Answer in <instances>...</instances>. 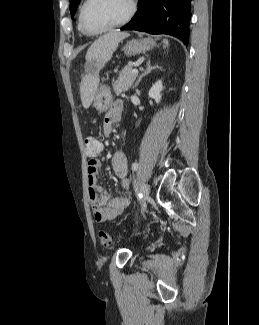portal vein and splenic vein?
<instances>
[{"instance_id": "portal-vein-and-splenic-vein-1", "label": "portal vein and splenic vein", "mask_w": 259, "mask_h": 325, "mask_svg": "<svg viewBox=\"0 0 259 325\" xmlns=\"http://www.w3.org/2000/svg\"><path fill=\"white\" fill-rule=\"evenodd\" d=\"M132 73L137 74V73H138V69L134 68V69L132 70Z\"/></svg>"}]
</instances>
